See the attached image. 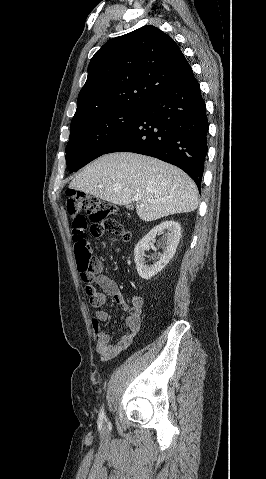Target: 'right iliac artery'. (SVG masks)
Instances as JSON below:
<instances>
[{"label": "right iliac artery", "mask_w": 266, "mask_h": 479, "mask_svg": "<svg viewBox=\"0 0 266 479\" xmlns=\"http://www.w3.org/2000/svg\"><path fill=\"white\" fill-rule=\"evenodd\" d=\"M104 418H105L104 411L103 409H101L99 414V424H102Z\"/></svg>", "instance_id": "right-iliac-artery-1"}]
</instances>
